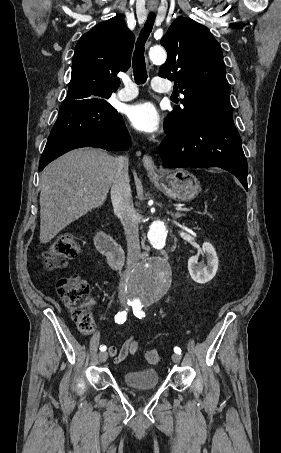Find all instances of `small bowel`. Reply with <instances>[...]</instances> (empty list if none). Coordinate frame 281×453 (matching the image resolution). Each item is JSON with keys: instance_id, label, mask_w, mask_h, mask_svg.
I'll list each match as a JSON object with an SVG mask.
<instances>
[{"instance_id": "obj_1", "label": "small bowel", "mask_w": 281, "mask_h": 453, "mask_svg": "<svg viewBox=\"0 0 281 453\" xmlns=\"http://www.w3.org/2000/svg\"><path fill=\"white\" fill-rule=\"evenodd\" d=\"M137 348V342L134 337H130L121 347L119 351H117L116 347L110 346L108 348V353L114 356V362L121 363L123 362L128 355H134Z\"/></svg>"}]
</instances>
